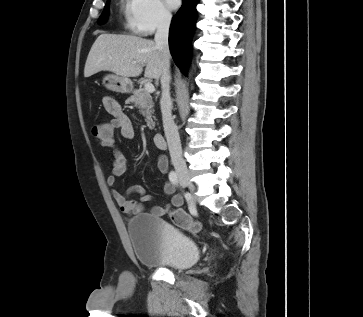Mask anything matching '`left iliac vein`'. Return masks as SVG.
<instances>
[{
    "label": "left iliac vein",
    "mask_w": 363,
    "mask_h": 317,
    "mask_svg": "<svg viewBox=\"0 0 363 317\" xmlns=\"http://www.w3.org/2000/svg\"><path fill=\"white\" fill-rule=\"evenodd\" d=\"M180 183H181L182 186H185V184H183L181 181H180Z\"/></svg>",
    "instance_id": "left-iliac-vein-1"
}]
</instances>
